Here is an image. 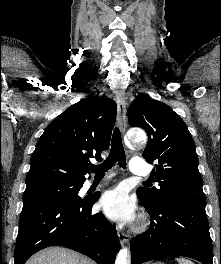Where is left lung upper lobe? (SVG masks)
Instances as JSON below:
<instances>
[{
	"label": "left lung upper lobe",
	"instance_id": "left-lung-upper-lobe-1",
	"mask_svg": "<svg viewBox=\"0 0 221 264\" xmlns=\"http://www.w3.org/2000/svg\"><path fill=\"white\" fill-rule=\"evenodd\" d=\"M128 121L147 132L143 157L155 164L151 177L159 183V188L137 189L141 203L154 206L172 200L206 205L195 143L181 117L168 105L143 96L131 103Z\"/></svg>",
	"mask_w": 221,
	"mask_h": 264
}]
</instances>
